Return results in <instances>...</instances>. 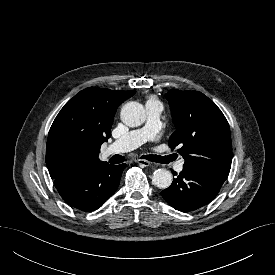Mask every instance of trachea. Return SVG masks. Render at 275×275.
<instances>
[{
    "label": "trachea",
    "mask_w": 275,
    "mask_h": 275,
    "mask_svg": "<svg viewBox=\"0 0 275 275\" xmlns=\"http://www.w3.org/2000/svg\"><path fill=\"white\" fill-rule=\"evenodd\" d=\"M141 158L152 162L162 163V164H168L169 162L172 161L169 156H160V155H143ZM125 160H126L125 157L121 155H115L111 158L110 162L112 164H119L124 162Z\"/></svg>",
    "instance_id": "obj_1"
}]
</instances>
